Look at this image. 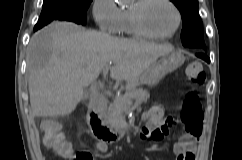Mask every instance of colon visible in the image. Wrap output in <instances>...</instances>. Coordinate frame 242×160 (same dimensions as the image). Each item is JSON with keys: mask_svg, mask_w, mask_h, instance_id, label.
Instances as JSON below:
<instances>
[{"mask_svg": "<svg viewBox=\"0 0 242 160\" xmlns=\"http://www.w3.org/2000/svg\"><path fill=\"white\" fill-rule=\"evenodd\" d=\"M188 79L193 83H203L205 81V71L200 62H191L186 69ZM181 121L185 124L186 133L197 135L201 130L203 112L201 104L195 92H188L182 102ZM44 132V145L54 152V154L64 160H69L67 147L69 144L64 138L62 125L57 120L46 119L41 124ZM162 133L153 131L151 137L154 139L162 138ZM72 160H92L89 153L78 152L73 155Z\"/></svg>", "mask_w": 242, "mask_h": 160, "instance_id": "colon-1", "label": "colon"}]
</instances>
